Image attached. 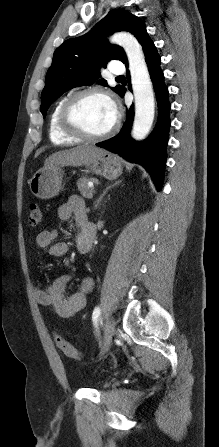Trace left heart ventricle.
Wrapping results in <instances>:
<instances>
[{
	"label": "left heart ventricle",
	"instance_id": "b2bd125f",
	"mask_svg": "<svg viewBox=\"0 0 219 447\" xmlns=\"http://www.w3.org/2000/svg\"><path fill=\"white\" fill-rule=\"evenodd\" d=\"M115 118L111 103L98 96L83 99L74 112L75 121L92 134L107 131Z\"/></svg>",
	"mask_w": 219,
	"mask_h": 447
}]
</instances>
